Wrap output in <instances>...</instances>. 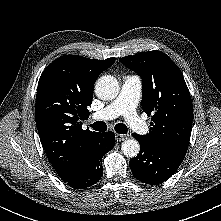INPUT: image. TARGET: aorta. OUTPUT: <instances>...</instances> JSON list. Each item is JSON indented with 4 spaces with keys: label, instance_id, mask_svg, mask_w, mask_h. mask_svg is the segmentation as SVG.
Segmentation results:
<instances>
[{
    "label": "aorta",
    "instance_id": "762f6f07",
    "mask_svg": "<svg viewBox=\"0 0 221 221\" xmlns=\"http://www.w3.org/2000/svg\"><path fill=\"white\" fill-rule=\"evenodd\" d=\"M119 83L111 75L100 77L95 84V93L102 100H112L119 93ZM121 150L126 157H136L140 151V145L135 139H127L121 145Z\"/></svg>",
    "mask_w": 221,
    "mask_h": 221
}]
</instances>
